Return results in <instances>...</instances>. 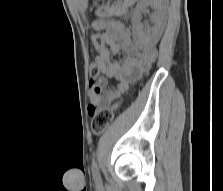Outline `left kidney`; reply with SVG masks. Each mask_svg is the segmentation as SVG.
<instances>
[{"label": "left kidney", "instance_id": "1", "mask_svg": "<svg viewBox=\"0 0 223 191\" xmlns=\"http://www.w3.org/2000/svg\"><path fill=\"white\" fill-rule=\"evenodd\" d=\"M167 0H142L137 5L133 16V33L138 42L144 46H150L159 40L165 20ZM148 8H152L153 26L143 28L141 24L142 13Z\"/></svg>", "mask_w": 223, "mask_h": 191}]
</instances>
